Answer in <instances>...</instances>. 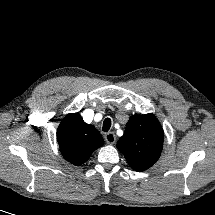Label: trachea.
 <instances>
[{"instance_id": "obj_1", "label": "trachea", "mask_w": 215, "mask_h": 215, "mask_svg": "<svg viewBox=\"0 0 215 215\" xmlns=\"http://www.w3.org/2000/svg\"><path fill=\"white\" fill-rule=\"evenodd\" d=\"M110 127H111V119L110 118H106L104 120V122H103V128H102V130L104 132H107L110 129Z\"/></svg>"}]
</instances>
